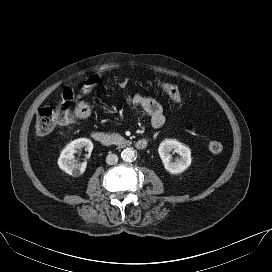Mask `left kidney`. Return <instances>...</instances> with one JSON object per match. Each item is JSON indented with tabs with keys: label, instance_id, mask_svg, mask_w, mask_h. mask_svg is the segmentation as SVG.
I'll return each instance as SVG.
<instances>
[{
	"label": "left kidney",
	"instance_id": "5707ae66",
	"mask_svg": "<svg viewBox=\"0 0 272 272\" xmlns=\"http://www.w3.org/2000/svg\"><path fill=\"white\" fill-rule=\"evenodd\" d=\"M172 151L179 154L180 158H176L175 161H172L170 154ZM158 153L165 169L171 174H181L192 162L190 148L174 139H165L162 141L159 145Z\"/></svg>",
	"mask_w": 272,
	"mask_h": 272
}]
</instances>
